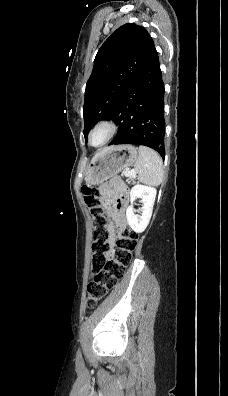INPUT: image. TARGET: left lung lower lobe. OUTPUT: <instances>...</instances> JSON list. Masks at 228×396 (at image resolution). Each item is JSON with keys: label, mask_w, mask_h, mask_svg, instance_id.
Returning <instances> with one entry per match:
<instances>
[{"label": "left lung lower lobe", "mask_w": 228, "mask_h": 396, "mask_svg": "<svg viewBox=\"0 0 228 396\" xmlns=\"http://www.w3.org/2000/svg\"><path fill=\"white\" fill-rule=\"evenodd\" d=\"M164 93L158 53L154 48L113 115L112 119L119 125V134L109 145H145L164 158Z\"/></svg>", "instance_id": "0a47b994"}]
</instances>
